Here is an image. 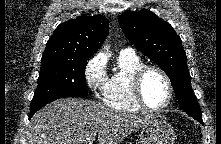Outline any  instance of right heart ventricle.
<instances>
[{
  "label": "right heart ventricle",
  "instance_id": "1",
  "mask_svg": "<svg viewBox=\"0 0 221 144\" xmlns=\"http://www.w3.org/2000/svg\"><path fill=\"white\" fill-rule=\"evenodd\" d=\"M143 65L136 55L118 56L117 68L109 78L105 103L112 109L122 112H139L132 95L131 80L133 73Z\"/></svg>",
  "mask_w": 221,
  "mask_h": 144
}]
</instances>
